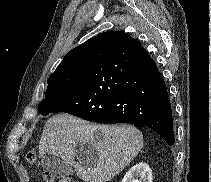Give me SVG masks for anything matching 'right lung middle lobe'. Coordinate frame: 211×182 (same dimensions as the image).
Returning a JSON list of instances; mask_svg holds the SVG:
<instances>
[{
  "instance_id": "1",
  "label": "right lung middle lobe",
  "mask_w": 211,
  "mask_h": 182,
  "mask_svg": "<svg viewBox=\"0 0 211 182\" xmlns=\"http://www.w3.org/2000/svg\"><path fill=\"white\" fill-rule=\"evenodd\" d=\"M87 66V62L68 66L49 77L45 99L38 106L41 115L53 113L58 101H63L74 93L83 79Z\"/></svg>"
}]
</instances>
